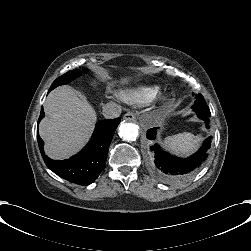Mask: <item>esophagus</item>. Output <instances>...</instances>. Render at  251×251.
I'll use <instances>...</instances> for the list:
<instances>
[{
    "label": "esophagus",
    "mask_w": 251,
    "mask_h": 251,
    "mask_svg": "<svg viewBox=\"0 0 251 251\" xmlns=\"http://www.w3.org/2000/svg\"><path fill=\"white\" fill-rule=\"evenodd\" d=\"M123 119L124 120L135 121L136 120V116H135L134 113L128 112V113L124 114Z\"/></svg>",
    "instance_id": "1"
}]
</instances>
